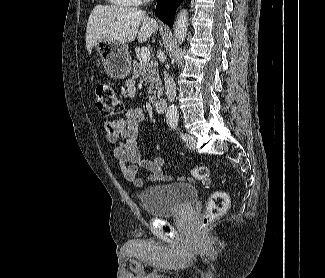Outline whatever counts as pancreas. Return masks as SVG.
Returning <instances> with one entry per match:
<instances>
[{"label": "pancreas", "mask_w": 325, "mask_h": 278, "mask_svg": "<svg viewBox=\"0 0 325 278\" xmlns=\"http://www.w3.org/2000/svg\"><path fill=\"white\" fill-rule=\"evenodd\" d=\"M133 77L135 79L142 78L148 84L147 93L149 94L148 100L151 103L159 97L162 93L161 80L158 75L156 65L149 62L133 61ZM156 91L157 95H156Z\"/></svg>", "instance_id": "cf45deb5"}]
</instances>
